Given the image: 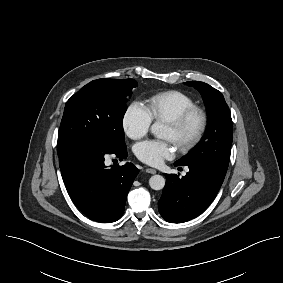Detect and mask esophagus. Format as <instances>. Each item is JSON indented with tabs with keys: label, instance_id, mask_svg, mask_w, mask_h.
I'll return each instance as SVG.
<instances>
[{
	"label": "esophagus",
	"instance_id": "esophagus-1",
	"mask_svg": "<svg viewBox=\"0 0 283 283\" xmlns=\"http://www.w3.org/2000/svg\"><path fill=\"white\" fill-rule=\"evenodd\" d=\"M146 172L150 173V174H156L157 173V171L155 169H153V168H147Z\"/></svg>",
	"mask_w": 283,
	"mask_h": 283
}]
</instances>
